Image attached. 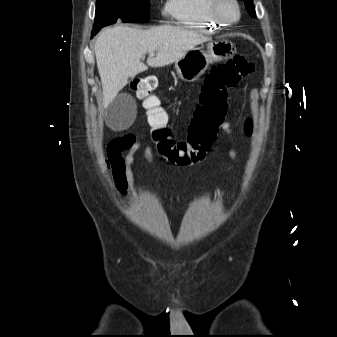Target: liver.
<instances>
[{"mask_svg": "<svg viewBox=\"0 0 337 337\" xmlns=\"http://www.w3.org/2000/svg\"><path fill=\"white\" fill-rule=\"evenodd\" d=\"M208 40L197 32L169 25L146 30L117 25L103 30L94 47L104 105L114 100L129 78L148 69L141 62L146 53H156L147 58L148 66L163 67Z\"/></svg>", "mask_w": 337, "mask_h": 337, "instance_id": "6515ba94", "label": "liver"}]
</instances>
